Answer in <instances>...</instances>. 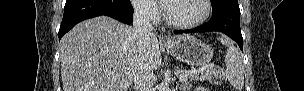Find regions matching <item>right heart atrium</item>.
Instances as JSON below:
<instances>
[{"instance_id":"obj_1","label":"right heart atrium","mask_w":304,"mask_h":91,"mask_svg":"<svg viewBox=\"0 0 304 91\" xmlns=\"http://www.w3.org/2000/svg\"><path fill=\"white\" fill-rule=\"evenodd\" d=\"M134 6L135 10L141 18L151 21L158 20L159 10L155 5L147 1H136Z\"/></svg>"}]
</instances>
